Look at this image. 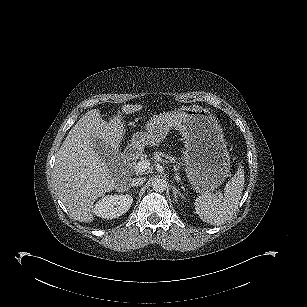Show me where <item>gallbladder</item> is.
<instances>
[{"mask_svg": "<svg viewBox=\"0 0 307 307\" xmlns=\"http://www.w3.org/2000/svg\"><path fill=\"white\" fill-rule=\"evenodd\" d=\"M94 149L101 157H104L105 159L108 158L109 150H106L103 144L99 143L94 147Z\"/></svg>", "mask_w": 307, "mask_h": 307, "instance_id": "gallbladder-1", "label": "gallbladder"}]
</instances>
